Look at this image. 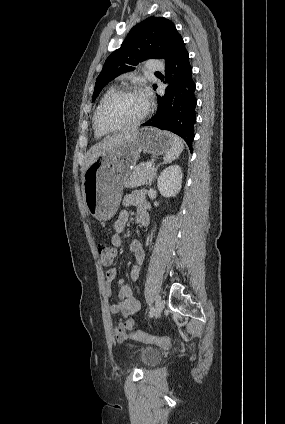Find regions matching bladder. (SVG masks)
Returning a JSON list of instances; mask_svg holds the SVG:
<instances>
[{"instance_id":"1","label":"bladder","mask_w":285,"mask_h":424,"mask_svg":"<svg viewBox=\"0 0 285 424\" xmlns=\"http://www.w3.org/2000/svg\"><path fill=\"white\" fill-rule=\"evenodd\" d=\"M139 360L146 366L157 364L162 359L161 351L153 348H144L138 354Z\"/></svg>"}]
</instances>
